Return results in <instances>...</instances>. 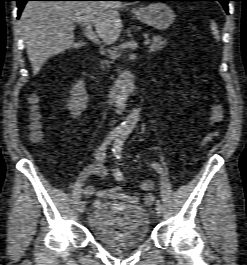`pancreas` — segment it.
<instances>
[{
    "label": "pancreas",
    "mask_w": 247,
    "mask_h": 265,
    "mask_svg": "<svg viewBox=\"0 0 247 265\" xmlns=\"http://www.w3.org/2000/svg\"><path fill=\"white\" fill-rule=\"evenodd\" d=\"M166 44H167L166 39H163L161 36H154L152 44L149 46V52L160 51L166 46ZM104 62L108 64L107 61H104Z\"/></svg>",
    "instance_id": "cf45deb5"
}]
</instances>
